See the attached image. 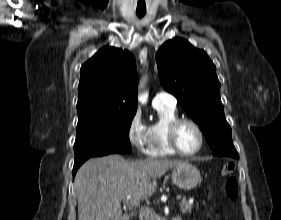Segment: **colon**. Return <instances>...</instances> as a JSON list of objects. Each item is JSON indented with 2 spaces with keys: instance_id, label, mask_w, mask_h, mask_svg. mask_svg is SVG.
<instances>
[{
  "instance_id": "colon-1",
  "label": "colon",
  "mask_w": 281,
  "mask_h": 220,
  "mask_svg": "<svg viewBox=\"0 0 281 220\" xmlns=\"http://www.w3.org/2000/svg\"><path fill=\"white\" fill-rule=\"evenodd\" d=\"M233 170L234 165L232 163H226L221 170L222 176L226 178L225 193L231 200H235L238 197V183L236 178L231 176Z\"/></svg>"
}]
</instances>
